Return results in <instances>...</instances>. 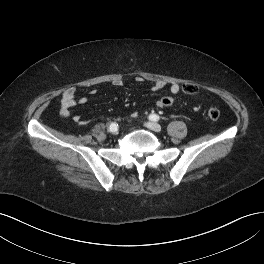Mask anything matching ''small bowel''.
I'll return each instance as SVG.
<instances>
[{"instance_id":"small-bowel-1","label":"small bowel","mask_w":264,"mask_h":264,"mask_svg":"<svg viewBox=\"0 0 264 264\" xmlns=\"http://www.w3.org/2000/svg\"><path fill=\"white\" fill-rule=\"evenodd\" d=\"M136 81L141 82L143 81L142 77H137ZM113 86L115 87H122L123 81L121 79H115L112 82ZM166 86V82L163 80H156L152 85L153 91H159L163 89ZM179 85L176 83H173L170 85V91L172 94H177L179 92ZM92 93H95V90L92 91ZM87 102L86 97H78L77 91L75 88H68L66 89L61 98V108L60 113L65 118H72L73 122L76 124H83L86 123L85 120H83L80 116H72L71 110L72 108L77 104H85ZM157 106L161 107L159 102H157Z\"/></svg>"}]
</instances>
